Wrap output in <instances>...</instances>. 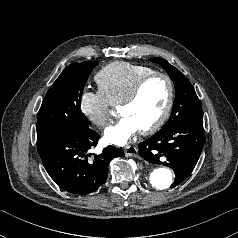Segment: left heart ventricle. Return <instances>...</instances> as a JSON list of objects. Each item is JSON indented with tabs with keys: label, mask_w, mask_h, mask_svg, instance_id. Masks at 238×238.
Wrapping results in <instances>:
<instances>
[{
	"label": "left heart ventricle",
	"mask_w": 238,
	"mask_h": 238,
	"mask_svg": "<svg viewBox=\"0 0 238 238\" xmlns=\"http://www.w3.org/2000/svg\"><path fill=\"white\" fill-rule=\"evenodd\" d=\"M168 99V86L163 79L150 81L142 90L138 99L120 110L122 116L130 117L144 129L154 123L161 115Z\"/></svg>",
	"instance_id": "b2bd125f"
}]
</instances>
